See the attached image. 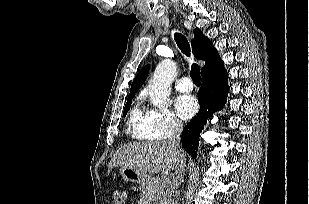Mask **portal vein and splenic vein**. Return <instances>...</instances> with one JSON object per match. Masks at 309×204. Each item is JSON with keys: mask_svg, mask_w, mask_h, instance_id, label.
Here are the masks:
<instances>
[{"mask_svg": "<svg viewBox=\"0 0 309 204\" xmlns=\"http://www.w3.org/2000/svg\"><path fill=\"white\" fill-rule=\"evenodd\" d=\"M164 181H165V183H166V181H167V178L165 177L164 179H163Z\"/></svg>", "mask_w": 309, "mask_h": 204, "instance_id": "portal-vein-and-splenic-vein-1", "label": "portal vein and splenic vein"}]
</instances>
